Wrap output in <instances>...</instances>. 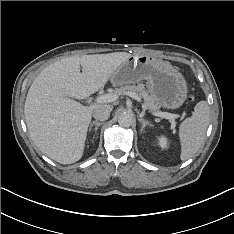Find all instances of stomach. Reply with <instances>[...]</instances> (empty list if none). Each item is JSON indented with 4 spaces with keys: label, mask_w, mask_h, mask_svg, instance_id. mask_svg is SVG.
<instances>
[{
    "label": "stomach",
    "mask_w": 234,
    "mask_h": 234,
    "mask_svg": "<svg viewBox=\"0 0 234 234\" xmlns=\"http://www.w3.org/2000/svg\"><path fill=\"white\" fill-rule=\"evenodd\" d=\"M147 81V88L159 107L176 109L187 97L183 75L169 62L147 55H132L111 75L113 85Z\"/></svg>",
    "instance_id": "stomach-1"
}]
</instances>
